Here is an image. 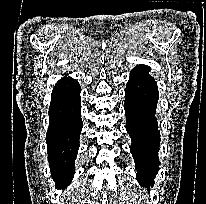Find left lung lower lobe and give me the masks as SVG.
Returning a JSON list of instances; mask_svg holds the SVG:
<instances>
[{"label":"left lung lower lobe","mask_w":206,"mask_h":204,"mask_svg":"<svg viewBox=\"0 0 206 204\" xmlns=\"http://www.w3.org/2000/svg\"><path fill=\"white\" fill-rule=\"evenodd\" d=\"M150 71L151 68L145 65H138L131 71L124 105L136 177L140 184L147 187L153 184L160 165V132L155 117L159 93L156 81L149 75Z\"/></svg>","instance_id":"0a47b994"}]
</instances>
